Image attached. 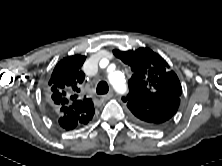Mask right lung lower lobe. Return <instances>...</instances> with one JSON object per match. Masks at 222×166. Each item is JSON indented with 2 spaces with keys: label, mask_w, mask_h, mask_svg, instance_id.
Returning a JSON list of instances; mask_svg holds the SVG:
<instances>
[{
  "label": "right lung lower lobe",
  "mask_w": 222,
  "mask_h": 166,
  "mask_svg": "<svg viewBox=\"0 0 222 166\" xmlns=\"http://www.w3.org/2000/svg\"><path fill=\"white\" fill-rule=\"evenodd\" d=\"M59 124L61 127L67 129V130H70V129H74L77 125L79 124H87V123H76V122H73L71 120H69L67 117H59V120H58Z\"/></svg>",
  "instance_id": "right-lung-lower-lobe-1"
}]
</instances>
